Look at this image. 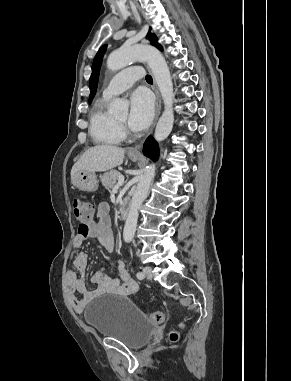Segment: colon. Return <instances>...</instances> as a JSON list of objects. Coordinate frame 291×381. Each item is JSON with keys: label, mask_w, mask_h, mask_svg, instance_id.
Instances as JSON below:
<instances>
[{"label": "colon", "mask_w": 291, "mask_h": 381, "mask_svg": "<svg viewBox=\"0 0 291 381\" xmlns=\"http://www.w3.org/2000/svg\"><path fill=\"white\" fill-rule=\"evenodd\" d=\"M72 213L79 221L82 229L86 230L87 226L92 222L94 209L90 202L81 199H74L72 202ZM148 318L155 324H160L164 321L165 315L161 311H154L148 314ZM179 337V332L173 330L170 333V339L176 341Z\"/></svg>", "instance_id": "colon-1"}]
</instances>
